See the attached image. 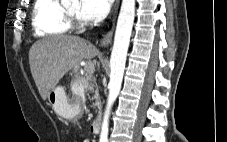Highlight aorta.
Here are the masks:
<instances>
[{
	"instance_id": "obj_1",
	"label": "aorta",
	"mask_w": 227,
	"mask_h": 142,
	"mask_svg": "<svg viewBox=\"0 0 227 142\" xmlns=\"http://www.w3.org/2000/svg\"><path fill=\"white\" fill-rule=\"evenodd\" d=\"M61 1L62 3H69L72 0ZM134 18L135 0H122L110 59L109 95L101 126L100 142H107L108 140L109 116L112 105L121 89Z\"/></svg>"
}]
</instances>
